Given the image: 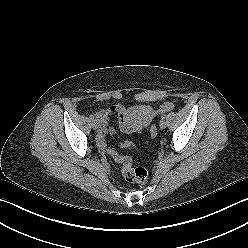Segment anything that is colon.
Here are the masks:
<instances>
[{
	"label": "colon",
	"instance_id": "5ec220e1",
	"mask_svg": "<svg viewBox=\"0 0 248 248\" xmlns=\"http://www.w3.org/2000/svg\"><path fill=\"white\" fill-rule=\"evenodd\" d=\"M150 134L152 137L157 136V128L155 126H151ZM120 146L129 148L132 147V142L125 140L120 143ZM108 153L117 163L122 165V175L125 180L138 185H144L147 182L148 172L145 168L135 167L130 157L121 155L113 149H109Z\"/></svg>",
	"mask_w": 248,
	"mask_h": 248
}]
</instances>
